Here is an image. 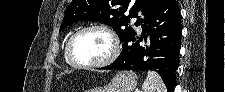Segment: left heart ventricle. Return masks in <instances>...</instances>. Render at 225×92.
<instances>
[{
  "label": "left heart ventricle",
  "instance_id": "left-heart-ventricle-1",
  "mask_svg": "<svg viewBox=\"0 0 225 92\" xmlns=\"http://www.w3.org/2000/svg\"><path fill=\"white\" fill-rule=\"evenodd\" d=\"M72 51L75 59L81 63H97L109 56L111 42L104 32L89 30L76 39Z\"/></svg>",
  "mask_w": 225,
  "mask_h": 92
}]
</instances>
